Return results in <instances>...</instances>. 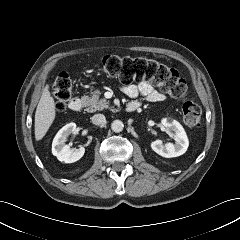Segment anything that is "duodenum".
<instances>
[{"instance_id": "duodenum-1", "label": "duodenum", "mask_w": 240, "mask_h": 240, "mask_svg": "<svg viewBox=\"0 0 240 240\" xmlns=\"http://www.w3.org/2000/svg\"><path fill=\"white\" fill-rule=\"evenodd\" d=\"M82 108V100L80 98H73L69 103V109L73 112H78ZM139 108L137 102H130L126 105L125 110L127 112H134Z\"/></svg>"}]
</instances>
